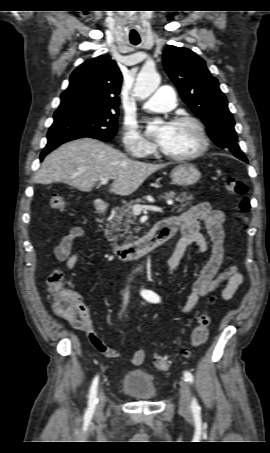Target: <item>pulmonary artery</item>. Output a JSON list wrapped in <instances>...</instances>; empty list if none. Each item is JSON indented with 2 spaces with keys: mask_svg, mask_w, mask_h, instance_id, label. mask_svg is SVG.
I'll use <instances>...</instances> for the list:
<instances>
[{
  "mask_svg": "<svg viewBox=\"0 0 270 453\" xmlns=\"http://www.w3.org/2000/svg\"><path fill=\"white\" fill-rule=\"evenodd\" d=\"M176 105V95L173 88L163 86L149 97L142 107L151 112L165 113L171 111Z\"/></svg>",
  "mask_w": 270,
  "mask_h": 453,
  "instance_id": "pulmonary-artery-1",
  "label": "pulmonary artery"
}]
</instances>
